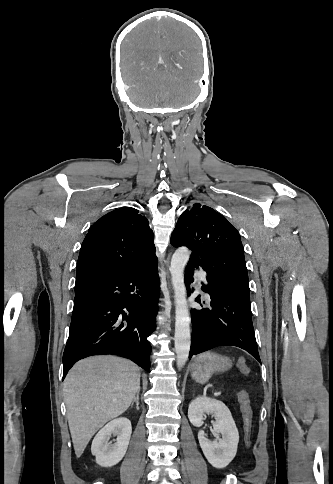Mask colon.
I'll return each instance as SVG.
<instances>
[{
	"mask_svg": "<svg viewBox=\"0 0 333 484\" xmlns=\"http://www.w3.org/2000/svg\"><path fill=\"white\" fill-rule=\"evenodd\" d=\"M238 367L243 374L250 373V367L245 362V360L240 359L238 361ZM238 401L240 404V408L243 414V423H244V441L247 447L251 445V436H252V422H253V415L252 409L249 401V397L246 391L240 390L237 393Z\"/></svg>",
	"mask_w": 333,
	"mask_h": 484,
	"instance_id": "1",
	"label": "colon"
}]
</instances>
